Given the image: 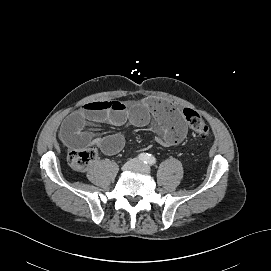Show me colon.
<instances>
[{"label":"colon","mask_w":271,"mask_h":271,"mask_svg":"<svg viewBox=\"0 0 271 271\" xmlns=\"http://www.w3.org/2000/svg\"><path fill=\"white\" fill-rule=\"evenodd\" d=\"M183 116L190 129L198 136L202 138L209 136V127L198 112L192 109H184ZM95 156L96 153L92 149H74L68 155V163L74 170L84 171L95 159Z\"/></svg>","instance_id":"obj_1"}]
</instances>
